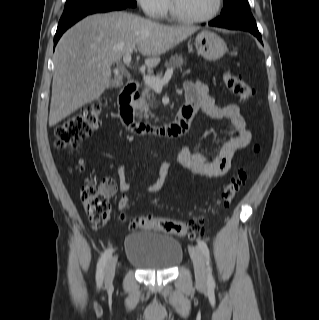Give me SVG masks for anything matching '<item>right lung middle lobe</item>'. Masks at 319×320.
I'll return each instance as SVG.
<instances>
[{
	"instance_id": "dd1d6c3e",
	"label": "right lung middle lobe",
	"mask_w": 319,
	"mask_h": 320,
	"mask_svg": "<svg viewBox=\"0 0 319 320\" xmlns=\"http://www.w3.org/2000/svg\"><path fill=\"white\" fill-rule=\"evenodd\" d=\"M123 4L135 7V0H66L64 12L59 23L65 22L73 16L98 6Z\"/></svg>"
}]
</instances>
